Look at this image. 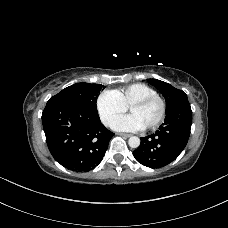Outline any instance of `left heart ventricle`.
Listing matches in <instances>:
<instances>
[{
  "mask_svg": "<svg viewBox=\"0 0 228 228\" xmlns=\"http://www.w3.org/2000/svg\"><path fill=\"white\" fill-rule=\"evenodd\" d=\"M129 111L131 114L136 115L142 124L147 127L158 118L160 105L158 102H152L146 106L132 107Z\"/></svg>",
  "mask_w": 228,
  "mask_h": 228,
  "instance_id": "left-heart-ventricle-1",
  "label": "left heart ventricle"
}]
</instances>
